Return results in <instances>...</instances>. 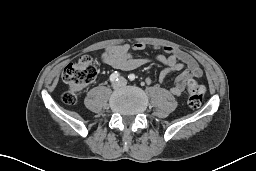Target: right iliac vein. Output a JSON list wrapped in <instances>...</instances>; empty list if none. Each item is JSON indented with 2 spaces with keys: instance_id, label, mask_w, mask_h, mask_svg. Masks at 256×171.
<instances>
[{
  "instance_id": "obj_1",
  "label": "right iliac vein",
  "mask_w": 256,
  "mask_h": 171,
  "mask_svg": "<svg viewBox=\"0 0 256 171\" xmlns=\"http://www.w3.org/2000/svg\"><path fill=\"white\" fill-rule=\"evenodd\" d=\"M121 86V83L118 81V82H114L113 84H112V87L114 88V89H118L119 87Z\"/></svg>"
}]
</instances>
